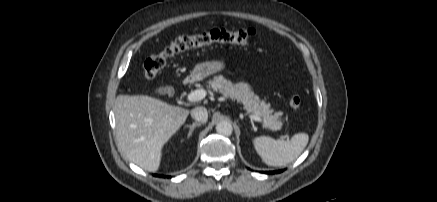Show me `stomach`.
I'll use <instances>...</instances> for the list:
<instances>
[{"label":"stomach","mask_w":437,"mask_h":202,"mask_svg":"<svg viewBox=\"0 0 437 202\" xmlns=\"http://www.w3.org/2000/svg\"><path fill=\"white\" fill-rule=\"evenodd\" d=\"M225 68V63L220 60L206 61L197 64L191 72L193 80H202L214 73L220 72Z\"/></svg>","instance_id":"1"}]
</instances>
